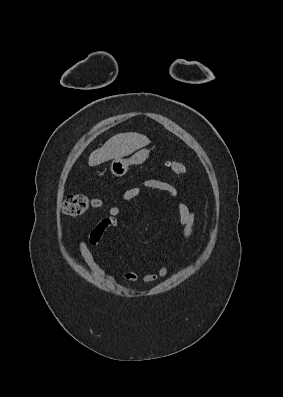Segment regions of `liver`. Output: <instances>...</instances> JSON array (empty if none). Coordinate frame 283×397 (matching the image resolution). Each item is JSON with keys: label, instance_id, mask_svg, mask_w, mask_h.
Here are the masks:
<instances>
[{"label": "liver", "instance_id": "liver-1", "mask_svg": "<svg viewBox=\"0 0 283 397\" xmlns=\"http://www.w3.org/2000/svg\"><path fill=\"white\" fill-rule=\"evenodd\" d=\"M150 143V140L139 133H121L111 137L97 150L93 151L88 160L89 166H97L111 159L122 158L132 154Z\"/></svg>", "mask_w": 283, "mask_h": 397}]
</instances>
